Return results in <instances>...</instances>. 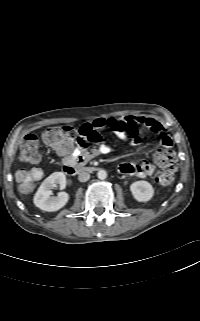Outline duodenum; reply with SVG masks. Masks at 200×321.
<instances>
[{
	"mask_svg": "<svg viewBox=\"0 0 200 321\" xmlns=\"http://www.w3.org/2000/svg\"><path fill=\"white\" fill-rule=\"evenodd\" d=\"M97 168L93 166H83L81 164L69 165L64 168V171L69 175H74L77 173H86V172H94Z\"/></svg>",
	"mask_w": 200,
	"mask_h": 321,
	"instance_id": "1",
	"label": "duodenum"
}]
</instances>
